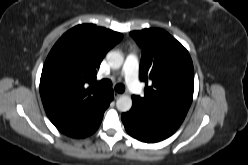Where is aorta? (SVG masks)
Returning a JSON list of instances; mask_svg holds the SVG:
<instances>
[{"label": "aorta", "instance_id": "762f6f07", "mask_svg": "<svg viewBox=\"0 0 248 165\" xmlns=\"http://www.w3.org/2000/svg\"><path fill=\"white\" fill-rule=\"evenodd\" d=\"M106 58H107L109 66L112 69H119L124 62L123 55L117 51L108 52V54L106 55ZM116 107L121 112L129 111L132 107L131 97L128 95L121 96L116 102Z\"/></svg>", "mask_w": 248, "mask_h": 165}]
</instances>
